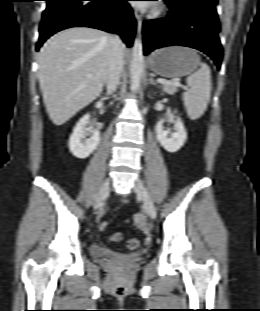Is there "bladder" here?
<instances>
[{
  "mask_svg": "<svg viewBox=\"0 0 260 311\" xmlns=\"http://www.w3.org/2000/svg\"><path fill=\"white\" fill-rule=\"evenodd\" d=\"M90 254L91 256L100 261H113L119 258H126L129 260H138L140 258L139 254H132L128 256L119 255L114 252L112 249L101 246V245H91L90 246Z\"/></svg>",
  "mask_w": 260,
  "mask_h": 311,
  "instance_id": "bladder-1",
  "label": "bladder"
}]
</instances>
